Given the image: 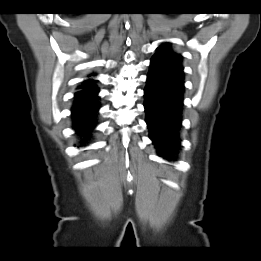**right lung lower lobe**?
<instances>
[{
    "label": "right lung lower lobe",
    "mask_w": 261,
    "mask_h": 261,
    "mask_svg": "<svg viewBox=\"0 0 261 261\" xmlns=\"http://www.w3.org/2000/svg\"><path fill=\"white\" fill-rule=\"evenodd\" d=\"M98 92L99 89L94 85L83 88L74 96L71 110L73 125L76 133L84 139L91 136V132L95 127L99 109Z\"/></svg>",
    "instance_id": "right-lung-lower-lobe-1"
}]
</instances>
